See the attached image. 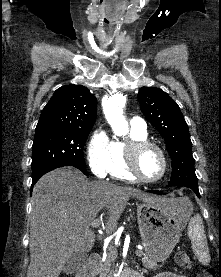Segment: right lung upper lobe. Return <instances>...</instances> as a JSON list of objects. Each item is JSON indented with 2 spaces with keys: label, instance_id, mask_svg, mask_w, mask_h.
<instances>
[{
  "label": "right lung upper lobe",
  "instance_id": "obj_1",
  "mask_svg": "<svg viewBox=\"0 0 221 277\" xmlns=\"http://www.w3.org/2000/svg\"><path fill=\"white\" fill-rule=\"evenodd\" d=\"M97 115V99L81 85H65L55 91L44 107L36 129L92 128Z\"/></svg>",
  "mask_w": 221,
  "mask_h": 277
}]
</instances>
